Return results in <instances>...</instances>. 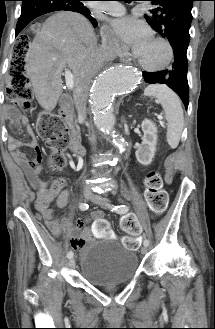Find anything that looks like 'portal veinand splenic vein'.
Wrapping results in <instances>:
<instances>
[{"label": "portal vein and splenic vein", "mask_w": 215, "mask_h": 329, "mask_svg": "<svg viewBox=\"0 0 215 329\" xmlns=\"http://www.w3.org/2000/svg\"><path fill=\"white\" fill-rule=\"evenodd\" d=\"M65 79H66V85L69 89H72L74 87V76L71 73L70 70L66 69L65 70ZM157 118L159 120H162V115H158Z\"/></svg>", "instance_id": "portal-vein-and-splenic-vein-1"}]
</instances>
